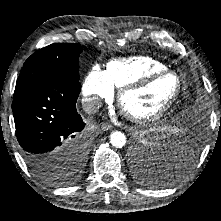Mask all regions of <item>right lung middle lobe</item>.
<instances>
[{
  "label": "right lung middle lobe",
  "instance_id": "right-lung-middle-lobe-1",
  "mask_svg": "<svg viewBox=\"0 0 221 221\" xmlns=\"http://www.w3.org/2000/svg\"><path fill=\"white\" fill-rule=\"evenodd\" d=\"M82 48L78 44L54 43L32 54L24 63L16 82L14 96L19 95L30 87L45 82H71L79 84L78 57ZM87 147L73 164L78 172L82 169ZM47 183L54 185H66L74 181V177L59 172L48 170L37 173Z\"/></svg>",
  "mask_w": 221,
  "mask_h": 221
}]
</instances>
